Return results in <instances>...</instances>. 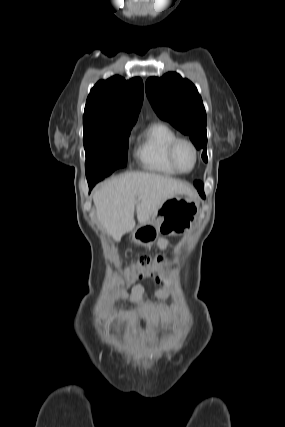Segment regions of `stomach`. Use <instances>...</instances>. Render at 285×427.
Wrapping results in <instances>:
<instances>
[{
  "label": "stomach",
  "instance_id": "0dacf381",
  "mask_svg": "<svg viewBox=\"0 0 285 427\" xmlns=\"http://www.w3.org/2000/svg\"><path fill=\"white\" fill-rule=\"evenodd\" d=\"M198 214L199 203L194 197L176 195L158 208L146 224L134 231L133 240L139 245L149 246L161 233H185L193 226Z\"/></svg>",
  "mask_w": 285,
  "mask_h": 427
}]
</instances>
